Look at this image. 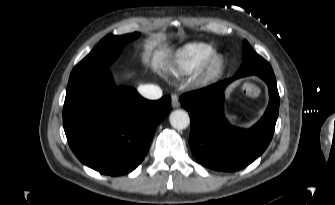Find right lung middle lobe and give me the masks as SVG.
Wrapping results in <instances>:
<instances>
[{
  "label": "right lung middle lobe",
  "mask_w": 335,
  "mask_h": 205,
  "mask_svg": "<svg viewBox=\"0 0 335 205\" xmlns=\"http://www.w3.org/2000/svg\"><path fill=\"white\" fill-rule=\"evenodd\" d=\"M140 33L122 36L107 35L98 45L73 69L69 82H72L88 73L110 66L120 54L121 48L130 41L138 38Z\"/></svg>",
  "instance_id": "obj_1"
}]
</instances>
